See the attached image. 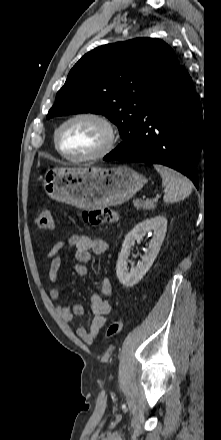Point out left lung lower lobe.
<instances>
[{
    "label": "left lung lower lobe",
    "instance_id": "left-lung-lower-lobe-1",
    "mask_svg": "<svg viewBox=\"0 0 221 440\" xmlns=\"http://www.w3.org/2000/svg\"><path fill=\"white\" fill-rule=\"evenodd\" d=\"M201 104L183 66L146 105L126 146L105 161L156 163L186 175L198 188L197 159L203 148Z\"/></svg>",
    "mask_w": 221,
    "mask_h": 440
}]
</instances>
